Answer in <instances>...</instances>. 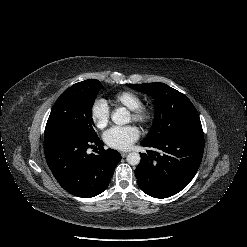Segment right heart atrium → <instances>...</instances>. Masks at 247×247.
<instances>
[{
    "instance_id": "obj_1",
    "label": "right heart atrium",
    "mask_w": 247,
    "mask_h": 247,
    "mask_svg": "<svg viewBox=\"0 0 247 247\" xmlns=\"http://www.w3.org/2000/svg\"><path fill=\"white\" fill-rule=\"evenodd\" d=\"M90 117L98 128L105 127L110 119V108L105 100L96 99L90 107Z\"/></svg>"
}]
</instances>
